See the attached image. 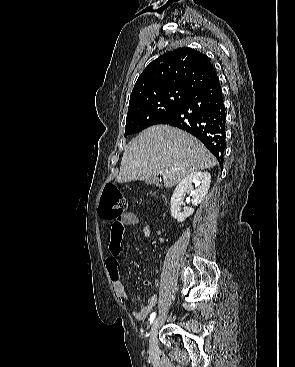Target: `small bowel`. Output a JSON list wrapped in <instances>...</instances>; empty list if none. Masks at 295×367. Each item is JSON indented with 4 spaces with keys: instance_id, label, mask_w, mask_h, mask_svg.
<instances>
[{
    "instance_id": "c3829d8e",
    "label": "small bowel",
    "mask_w": 295,
    "mask_h": 367,
    "mask_svg": "<svg viewBox=\"0 0 295 367\" xmlns=\"http://www.w3.org/2000/svg\"><path fill=\"white\" fill-rule=\"evenodd\" d=\"M140 222L139 216L135 212H126L122 215L119 221H113L111 225L110 232V242H109V256L106 258V268L110 274L114 291L117 298L123 304L131 303V298L124 286L123 279L121 273L118 268V256L121 251V243L124 235L125 228L128 226L137 225ZM143 233L146 237H148L151 233V225L146 224L143 228ZM159 285V280L155 279L154 281L146 280L144 285ZM157 295H151L145 305L138 311H133L132 315L136 319L144 318L156 305L157 303Z\"/></svg>"
}]
</instances>
